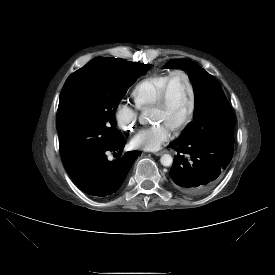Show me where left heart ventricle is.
<instances>
[{
    "label": "left heart ventricle",
    "mask_w": 275,
    "mask_h": 275,
    "mask_svg": "<svg viewBox=\"0 0 275 275\" xmlns=\"http://www.w3.org/2000/svg\"><path fill=\"white\" fill-rule=\"evenodd\" d=\"M189 100L190 94L185 79L180 75L174 77L167 104L161 108H153L152 120L167 123L174 128L185 117Z\"/></svg>",
    "instance_id": "obj_1"
}]
</instances>
